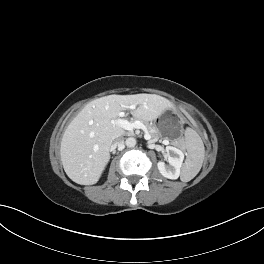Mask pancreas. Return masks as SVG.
Here are the masks:
<instances>
[{
  "mask_svg": "<svg viewBox=\"0 0 264 264\" xmlns=\"http://www.w3.org/2000/svg\"><path fill=\"white\" fill-rule=\"evenodd\" d=\"M139 120L146 126V128H147V130H148V132L152 138H159L160 137L159 131L154 125L149 124V123L143 121L142 119H139Z\"/></svg>",
  "mask_w": 264,
  "mask_h": 264,
  "instance_id": "cf45deb5",
  "label": "pancreas"
}]
</instances>
